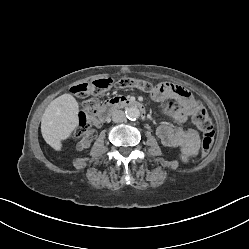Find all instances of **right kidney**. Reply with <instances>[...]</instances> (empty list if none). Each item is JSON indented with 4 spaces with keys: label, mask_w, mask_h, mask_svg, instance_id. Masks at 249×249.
I'll return each mask as SVG.
<instances>
[{
    "label": "right kidney",
    "mask_w": 249,
    "mask_h": 249,
    "mask_svg": "<svg viewBox=\"0 0 249 249\" xmlns=\"http://www.w3.org/2000/svg\"><path fill=\"white\" fill-rule=\"evenodd\" d=\"M97 133L98 131L96 128H91L90 131H87L86 134L83 135L82 140L78 144V147L81 150L88 148L89 145L94 141Z\"/></svg>",
    "instance_id": "right-kidney-1"
}]
</instances>
